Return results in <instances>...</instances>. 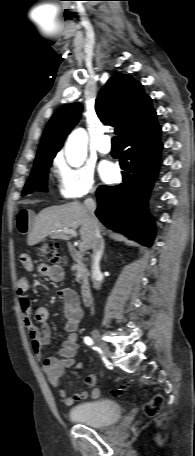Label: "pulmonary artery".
Wrapping results in <instances>:
<instances>
[{
    "label": "pulmonary artery",
    "mask_w": 195,
    "mask_h": 456,
    "mask_svg": "<svg viewBox=\"0 0 195 456\" xmlns=\"http://www.w3.org/2000/svg\"><path fill=\"white\" fill-rule=\"evenodd\" d=\"M97 149L101 154H109L111 152L110 137L108 135L101 137Z\"/></svg>",
    "instance_id": "e3ab8cb5"
}]
</instances>
